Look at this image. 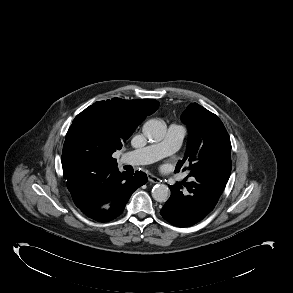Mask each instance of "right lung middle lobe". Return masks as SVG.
<instances>
[{
    "instance_id": "right-lung-middle-lobe-1",
    "label": "right lung middle lobe",
    "mask_w": 293,
    "mask_h": 293,
    "mask_svg": "<svg viewBox=\"0 0 293 293\" xmlns=\"http://www.w3.org/2000/svg\"><path fill=\"white\" fill-rule=\"evenodd\" d=\"M105 161V156L103 153L94 150L89 151L81 156L80 164L84 166L85 168L92 167L94 165H100L103 164Z\"/></svg>"
}]
</instances>
